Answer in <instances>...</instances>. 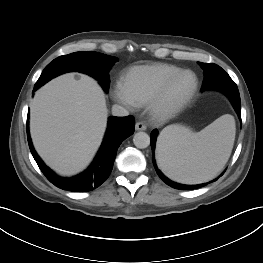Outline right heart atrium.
<instances>
[{"mask_svg": "<svg viewBox=\"0 0 263 263\" xmlns=\"http://www.w3.org/2000/svg\"><path fill=\"white\" fill-rule=\"evenodd\" d=\"M113 95H114V98L118 102H120L124 105H127V106H133L134 105V103L132 102V100L130 99V97L128 96V94L126 92L123 83L118 82L115 85L114 90H113Z\"/></svg>", "mask_w": 263, "mask_h": 263, "instance_id": "right-heart-atrium-1", "label": "right heart atrium"}]
</instances>
